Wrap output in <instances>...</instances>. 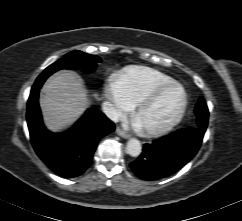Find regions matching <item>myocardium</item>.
Segmentation results:
<instances>
[{
	"label": "myocardium",
	"mask_w": 242,
	"mask_h": 221,
	"mask_svg": "<svg viewBox=\"0 0 242 221\" xmlns=\"http://www.w3.org/2000/svg\"><path fill=\"white\" fill-rule=\"evenodd\" d=\"M174 88L179 89L182 93V102L179 109L174 114V116L170 120H168L165 124L156 128L142 129V132L144 134L148 136H157V135L164 134L169 130H171L183 117L188 104V96L184 87L177 82H172L170 84L160 86L156 88L154 91H152L148 96H146L135 106L133 110V117L136 119V116L139 113H141L142 111H144L145 109L153 105L165 92Z\"/></svg>",
	"instance_id": "myocardium-1"
}]
</instances>
